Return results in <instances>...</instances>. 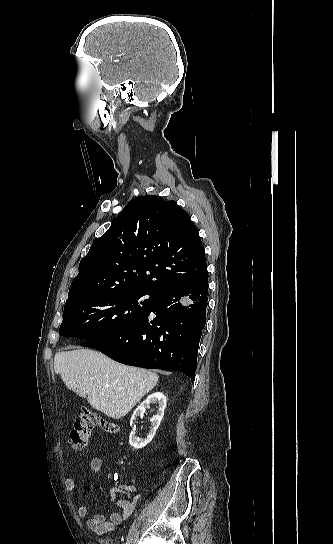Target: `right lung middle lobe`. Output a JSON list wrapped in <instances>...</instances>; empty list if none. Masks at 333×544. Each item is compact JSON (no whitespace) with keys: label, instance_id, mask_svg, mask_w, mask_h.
Wrapping results in <instances>:
<instances>
[{"label":"right lung middle lobe","instance_id":"dd1d6c3e","mask_svg":"<svg viewBox=\"0 0 333 544\" xmlns=\"http://www.w3.org/2000/svg\"><path fill=\"white\" fill-rule=\"evenodd\" d=\"M146 295L150 297L145 298ZM156 295L142 290L107 291L65 303L61 336L89 341L119 332L137 322ZM85 343V342H84Z\"/></svg>","mask_w":333,"mask_h":544}]
</instances>
